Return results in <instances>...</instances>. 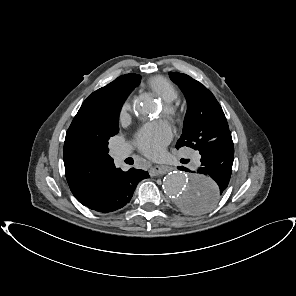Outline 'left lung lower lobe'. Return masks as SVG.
<instances>
[{
	"mask_svg": "<svg viewBox=\"0 0 296 296\" xmlns=\"http://www.w3.org/2000/svg\"><path fill=\"white\" fill-rule=\"evenodd\" d=\"M234 158V145L231 133L218 137L211 142L208 151L201 154V166L193 171L194 177L208 176L217 184L214 192L204 194L198 199L190 202L186 208L191 212H202L213 206L225 192L232 172ZM180 170L191 172L185 167H178Z\"/></svg>",
	"mask_w": 296,
	"mask_h": 296,
	"instance_id": "1",
	"label": "left lung lower lobe"
}]
</instances>
